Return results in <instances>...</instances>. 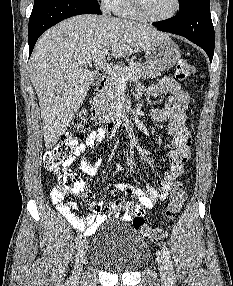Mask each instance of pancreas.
<instances>
[{"mask_svg": "<svg viewBox=\"0 0 233 286\" xmlns=\"http://www.w3.org/2000/svg\"><path fill=\"white\" fill-rule=\"evenodd\" d=\"M117 72L120 75H126L131 72L135 79L155 78L160 75L157 70L151 68L146 63L134 62L132 60L129 61V67H120L117 69ZM119 88L120 83L117 81V78L109 75L108 83L101 91L98 102L95 104V108L101 119L109 120L116 117Z\"/></svg>", "mask_w": 233, "mask_h": 286, "instance_id": "obj_1", "label": "pancreas"}]
</instances>
